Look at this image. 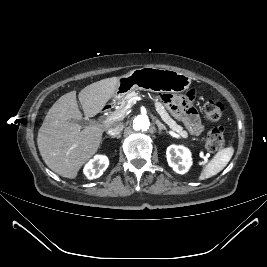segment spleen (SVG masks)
<instances>
[{"mask_svg":"<svg viewBox=\"0 0 267 267\" xmlns=\"http://www.w3.org/2000/svg\"><path fill=\"white\" fill-rule=\"evenodd\" d=\"M233 153L234 148L231 146L217 152L213 159L203 168L199 180H205L222 171L231 160Z\"/></svg>","mask_w":267,"mask_h":267,"instance_id":"spleen-1","label":"spleen"}]
</instances>
